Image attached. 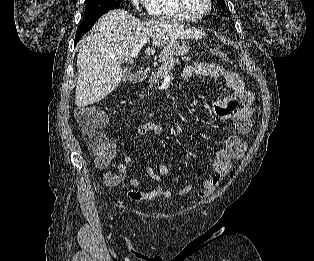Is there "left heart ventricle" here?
<instances>
[{
	"instance_id": "b2bd125f",
	"label": "left heart ventricle",
	"mask_w": 314,
	"mask_h": 261,
	"mask_svg": "<svg viewBox=\"0 0 314 261\" xmlns=\"http://www.w3.org/2000/svg\"><path fill=\"white\" fill-rule=\"evenodd\" d=\"M188 7L196 12L203 13L207 9V0H186Z\"/></svg>"
}]
</instances>
